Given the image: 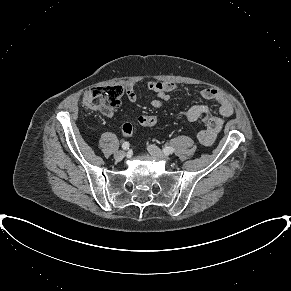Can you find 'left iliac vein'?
I'll list each match as a JSON object with an SVG mask.
<instances>
[{
  "label": "left iliac vein",
  "mask_w": 291,
  "mask_h": 291,
  "mask_svg": "<svg viewBox=\"0 0 291 291\" xmlns=\"http://www.w3.org/2000/svg\"><path fill=\"white\" fill-rule=\"evenodd\" d=\"M148 152L150 153L151 156L159 158V159H163V160H170V157L168 155H166L165 153L162 152L161 149H159L157 146L155 145H149L147 147Z\"/></svg>",
  "instance_id": "obj_1"
}]
</instances>
